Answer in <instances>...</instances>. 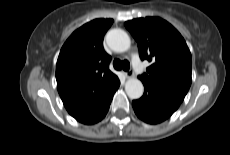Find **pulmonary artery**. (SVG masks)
Segmentation results:
<instances>
[{
    "instance_id": "pulmonary-artery-1",
    "label": "pulmonary artery",
    "mask_w": 230,
    "mask_h": 155,
    "mask_svg": "<svg viewBox=\"0 0 230 155\" xmlns=\"http://www.w3.org/2000/svg\"><path fill=\"white\" fill-rule=\"evenodd\" d=\"M131 62L134 70L137 73L143 74L145 72L141 59L138 55H133Z\"/></svg>"
}]
</instances>
